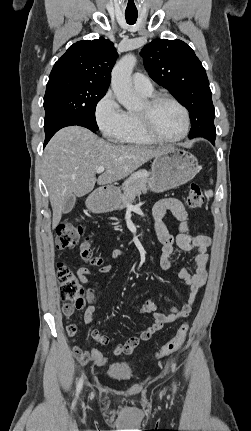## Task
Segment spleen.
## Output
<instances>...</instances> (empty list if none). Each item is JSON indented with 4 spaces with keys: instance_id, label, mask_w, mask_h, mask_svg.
<instances>
[{
    "instance_id": "spleen-1",
    "label": "spleen",
    "mask_w": 251,
    "mask_h": 431,
    "mask_svg": "<svg viewBox=\"0 0 251 431\" xmlns=\"http://www.w3.org/2000/svg\"><path fill=\"white\" fill-rule=\"evenodd\" d=\"M211 183H212V181H211ZM207 195L208 196H213V192L210 190V191L207 192Z\"/></svg>"
}]
</instances>
